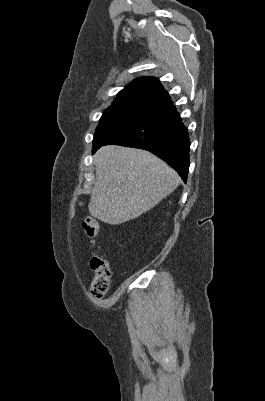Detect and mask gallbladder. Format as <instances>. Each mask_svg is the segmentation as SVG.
I'll list each match as a JSON object with an SVG mask.
<instances>
[{
    "label": "gallbladder",
    "mask_w": 265,
    "mask_h": 401,
    "mask_svg": "<svg viewBox=\"0 0 265 401\" xmlns=\"http://www.w3.org/2000/svg\"><path fill=\"white\" fill-rule=\"evenodd\" d=\"M80 207H82L83 203H79Z\"/></svg>",
    "instance_id": "gallbladder-1"
}]
</instances>
